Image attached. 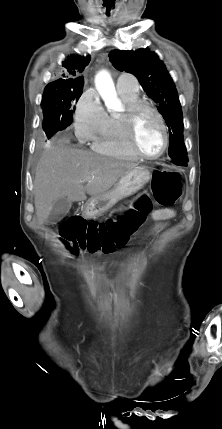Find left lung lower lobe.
<instances>
[{"instance_id": "0a47b994", "label": "left lung lower lobe", "mask_w": 222, "mask_h": 429, "mask_svg": "<svg viewBox=\"0 0 222 429\" xmlns=\"http://www.w3.org/2000/svg\"><path fill=\"white\" fill-rule=\"evenodd\" d=\"M169 161L174 163L175 165L182 166V167H185L188 165L187 162H182V161H178V160L170 159Z\"/></svg>"}]
</instances>
